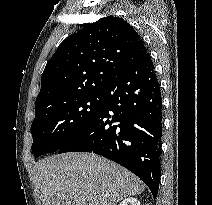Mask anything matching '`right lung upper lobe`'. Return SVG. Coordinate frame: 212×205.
Here are the masks:
<instances>
[{
    "mask_svg": "<svg viewBox=\"0 0 212 205\" xmlns=\"http://www.w3.org/2000/svg\"><path fill=\"white\" fill-rule=\"evenodd\" d=\"M148 53L125 20L108 16L65 39L47 63L35 117L74 99L101 93L120 72Z\"/></svg>",
    "mask_w": 212,
    "mask_h": 205,
    "instance_id": "1",
    "label": "right lung upper lobe"
}]
</instances>
